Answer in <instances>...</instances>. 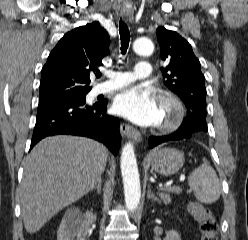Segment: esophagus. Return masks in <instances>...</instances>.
I'll return each instance as SVG.
<instances>
[{
    "instance_id": "34e87169",
    "label": "esophagus",
    "mask_w": 248,
    "mask_h": 240,
    "mask_svg": "<svg viewBox=\"0 0 248 240\" xmlns=\"http://www.w3.org/2000/svg\"><path fill=\"white\" fill-rule=\"evenodd\" d=\"M123 18L132 20L133 10L130 7H124L121 12ZM120 133L128 138H132L134 141L139 142L141 140V134L138 130L128 124L120 125Z\"/></svg>"
}]
</instances>
